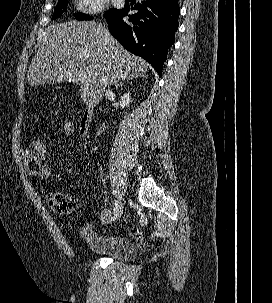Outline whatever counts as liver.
<instances>
[{
    "label": "liver",
    "instance_id": "6515ba94",
    "mask_svg": "<svg viewBox=\"0 0 272 303\" xmlns=\"http://www.w3.org/2000/svg\"><path fill=\"white\" fill-rule=\"evenodd\" d=\"M147 71L148 64L124 49L101 23L73 20L46 29L27 80L36 87L76 81L85 74L89 81L81 83L80 94L90 107L99 103L108 85L143 77Z\"/></svg>",
    "mask_w": 272,
    "mask_h": 303
}]
</instances>
